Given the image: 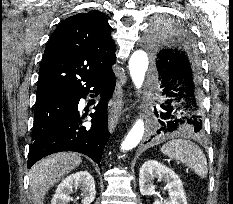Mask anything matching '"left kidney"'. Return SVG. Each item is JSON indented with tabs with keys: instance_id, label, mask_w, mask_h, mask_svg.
I'll return each instance as SVG.
<instances>
[{
	"instance_id": "left-kidney-1",
	"label": "left kidney",
	"mask_w": 233,
	"mask_h": 204,
	"mask_svg": "<svg viewBox=\"0 0 233 204\" xmlns=\"http://www.w3.org/2000/svg\"><path fill=\"white\" fill-rule=\"evenodd\" d=\"M154 179L167 183L169 199H155L153 204H188L179 176L172 169L155 160L146 161L140 169L139 187L142 195L148 196L154 193Z\"/></svg>"
}]
</instances>
